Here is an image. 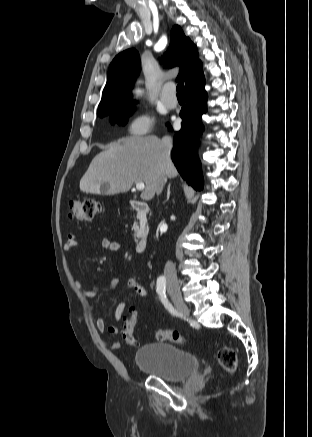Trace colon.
Returning <instances> with one entry per match:
<instances>
[{
    "instance_id": "5ec220e1",
    "label": "colon",
    "mask_w": 312,
    "mask_h": 437,
    "mask_svg": "<svg viewBox=\"0 0 312 437\" xmlns=\"http://www.w3.org/2000/svg\"><path fill=\"white\" fill-rule=\"evenodd\" d=\"M105 207L95 199H73L69 202L70 220L89 221L97 215L103 214ZM137 312L131 311L123 319L122 338L124 342L131 346H137L138 341L134 335V329L137 322ZM155 336L159 341H171L184 343L186 339L176 330H156ZM219 364L228 372L234 373L237 369V356L235 351L229 347H221L217 352Z\"/></svg>"
}]
</instances>
